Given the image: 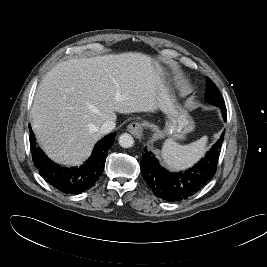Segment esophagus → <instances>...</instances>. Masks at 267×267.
Returning a JSON list of instances; mask_svg holds the SVG:
<instances>
[{
	"label": "esophagus",
	"mask_w": 267,
	"mask_h": 267,
	"mask_svg": "<svg viewBox=\"0 0 267 267\" xmlns=\"http://www.w3.org/2000/svg\"><path fill=\"white\" fill-rule=\"evenodd\" d=\"M128 131L136 138L143 136V126L140 122H132L128 125Z\"/></svg>",
	"instance_id": "obj_1"
}]
</instances>
